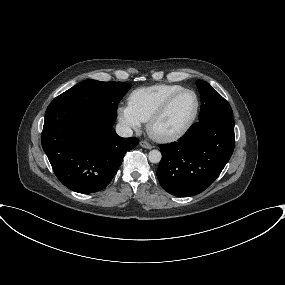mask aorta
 <instances>
[{"label":"aorta","instance_id":"1","mask_svg":"<svg viewBox=\"0 0 285 285\" xmlns=\"http://www.w3.org/2000/svg\"><path fill=\"white\" fill-rule=\"evenodd\" d=\"M161 152L159 150H151L148 154L149 161L151 163H159L161 160Z\"/></svg>","mask_w":285,"mask_h":285}]
</instances>
